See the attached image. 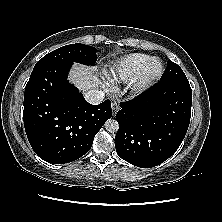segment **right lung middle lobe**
<instances>
[{
    "label": "right lung middle lobe",
    "instance_id": "dd1d6c3e",
    "mask_svg": "<svg viewBox=\"0 0 222 222\" xmlns=\"http://www.w3.org/2000/svg\"><path fill=\"white\" fill-rule=\"evenodd\" d=\"M97 49L84 44H70L58 48L40 59L34 69L55 63L79 62L86 65H94L97 59Z\"/></svg>",
    "mask_w": 222,
    "mask_h": 222
}]
</instances>
